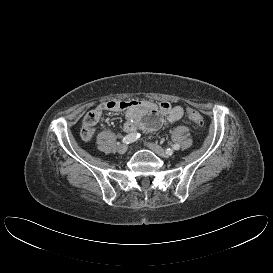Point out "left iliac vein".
Wrapping results in <instances>:
<instances>
[{
  "label": "left iliac vein",
  "mask_w": 273,
  "mask_h": 273,
  "mask_svg": "<svg viewBox=\"0 0 273 273\" xmlns=\"http://www.w3.org/2000/svg\"><path fill=\"white\" fill-rule=\"evenodd\" d=\"M147 147L160 157L168 158L170 156L169 153H167L161 146L156 143H147Z\"/></svg>",
  "instance_id": "4c4485c4"
}]
</instances>
